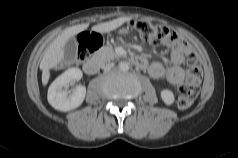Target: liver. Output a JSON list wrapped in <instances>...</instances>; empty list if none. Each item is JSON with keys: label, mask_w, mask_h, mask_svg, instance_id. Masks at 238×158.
Returning <instances> with one entry per match:
<instances>
[{"label": "liver", "mask_w": 238, "mask_h": 158, "mask_svg": "<svg viewBox=\"0 0 238 158\" xmlns=\"http://www.w3.org/2000/svg\"><path fill=\"white\" fill-rule=\"evenodd\" d=\"M128 18L121 17L115 20L98 24L92 27L93 31L106 33L120 27ZM89 27L88 23L79 24L65 29L53 42L48 46L41 60L40 68L42 70V84L47 85L50 78V69L56 66L64 57V45L73 36L85 31Z\"/></svg>", "instance_id": "obj_1"}]
</instances>
